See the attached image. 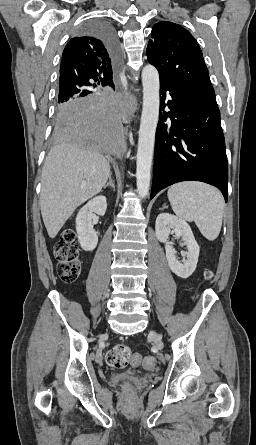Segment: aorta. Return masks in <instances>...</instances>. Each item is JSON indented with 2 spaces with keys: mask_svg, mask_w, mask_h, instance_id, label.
<instances>
[{
  "mask_svg": "<svg viewBox=\"0 0 256 445\" xmlns=\"http://www.w3.org/2000/svg\"><path fill=\"white\" fill-rule=\"evenodd\" d=\"M143 107L139 129L136 182L137 192L144 198L149 193L155 132L159 119V74L153 65L142 70Z\"/></svg>",
  "mask_w": 256,
  "mask_h": 445,
  "instance_id": "aorta-1",
  "label": "aorta"
}]
</instances>
